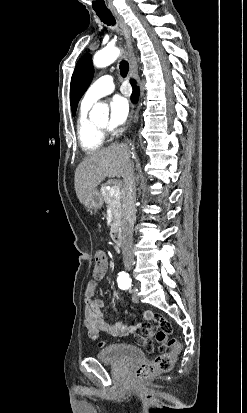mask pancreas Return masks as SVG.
Wrapping results in <instances>:
<instances>
[{"instance_id": "pancreas-1", "label": "pancreas", "mask_w": 247, "mask_h": 413, "mask_svg": "<svg viewBox=\"0 0 247 413\" xmlns=\"http://www.w3.org/2000/svg\"><path fill=\"white\" fill-rule=\"evenodd\" d=\"M101 194L107 204V207H109L113 213L112 229H115V227H118L121 223V196H114V194L111 196L108 188H106V184H102Z\"/></svg>"}]
</instances>
